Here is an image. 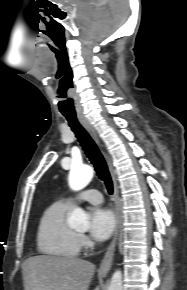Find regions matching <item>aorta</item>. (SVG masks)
I'll return each instance as SVG.
<instances>
[{
	"mask_svg": "<svg viewBox=\"0 0 187 290\" xmlns=\"http://www.w3.org/2000/svg\"><path fill=\"white\" fill-rule=\"evenodd\" d=\"M93 175L94 171L90 166H73L69 174L70 188L74 191H79L85 188L92 180ZM68 224L74 229L87 230L90 226L89 216L83 209L77 207L71 212L68 218ZM122 287V273L120 270H117L112 275L108 290H122Z\"/></svg>",
	"mask_w": 187,
	"mask_h": 290,
	"instance_id": "762f6f07",
	"label": "aorta"
}]
</instances>
